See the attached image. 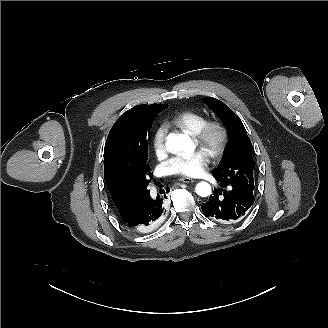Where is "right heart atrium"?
<instances>
[{
    "instance_id": "obj_1",
    "label": "right heart atrium",
    "mask_w": 328,
    "mask_h": 328,
    "mask_svg": "<svg viewBox=\"0 0 328 328\" xmlns=\"http://www.w3.org/2000/svg\"><path fill=\"white\" fill-rule=\"evenodd\" d=\"M166 134L167 126L164 123H158L152 128L150 136V149L157 157H163L168 152L165 143Z\"/></svg>"
}]
</instances>
